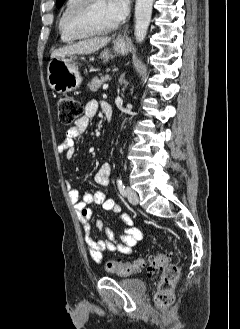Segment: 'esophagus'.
Here are the masks:
<instances>
[{"instance_id":"34e87169","label":"esophagus","mask_w":240,"mask_h":329,"mask_svg":"<svg viewBox=\"0 0 240 329\" xmlns=\"http://www.w3.org/2000/svg\"><path fill=\"white\" fill-rule=\"evenodd\" d=\"M117 40H118V43H119L120 45H124V44H125V38H124V36L119 35V36L117 37Z\"/></svg>"}]
</instances>
